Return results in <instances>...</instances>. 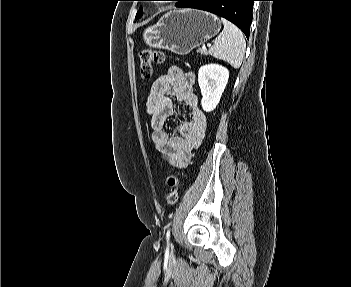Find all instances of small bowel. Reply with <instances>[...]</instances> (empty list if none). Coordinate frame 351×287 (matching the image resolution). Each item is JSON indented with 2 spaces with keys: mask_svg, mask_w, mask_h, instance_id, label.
I'll return each instance as SVG.
<instances>
[{
  "mask_svg": "<svg viewBox=\"0 0 351 287\" xmlns=\"http://www.w3.org/2000/svg\"><path fill=\"white\" fill-rule=\"evenodd\" d=\"M193 84L192 73L172 66L154 81L146 102L155 148L164 158L180 168L190 162L191 153L201 144L207 126L206 116L199 106ZM172 98L189 110L191 119L179 124L169 134L166 129L167 120L179 115L173 107Z\"/></svg>",
  "mask_w": 351,
  "mask_h": 287,
  "instance_id": "c3829d8e",
  "label": "small bowel"
}]
</instances>
